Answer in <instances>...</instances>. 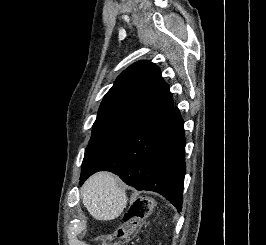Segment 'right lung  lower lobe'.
<instances>
[{"label":"right lung lower lobe","instance_id":"98d812e1","mask_svg":"<svg viewBox=\"0 0 266 245\" xmlns=\"http://www.w3.org/2000/svg\"><path fill=\"white\" fill-rule=\"evenodd\" d=\"M185 136L177 107L145 120L81 173L80 185L93 173L108 170L137 190L154 191L180 212L184 186Z\"/></svg>","mask_w":266,"mask_h":245}]
</instances>
